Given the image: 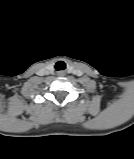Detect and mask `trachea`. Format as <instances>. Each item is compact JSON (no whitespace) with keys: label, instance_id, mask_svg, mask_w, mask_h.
I'll list each match as a JSON object with an SVG mask.
<instances>
[{"label":"trachea","instance_id":"obj_1","mask_svg":"<svg viewBox=\"0 0 134 159\" xmlns=\"http://www.w3.org/2000/svg\"><path fill=\"white\" fill-rule=\"evenodd\" d=\"M56 70H64L65 69V63L63 61H58L55 65Z\"/></svg>","mask_w":134,"mask_h":159}]
</instances>
